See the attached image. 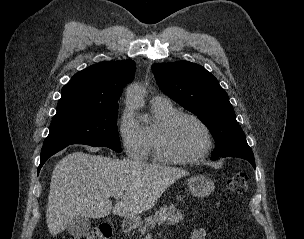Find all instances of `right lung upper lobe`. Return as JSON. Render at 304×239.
Returning <instances> with one entry per match:
<instances>
[{"label":"right lung upper lobe","instance_id":"obj_1","mask_svg":"<svg viewBox=\"0 0 304 239\" xmlns=\"http://www.w3.org/2000/svg\"><path fill=\"white\" fill-rule=\"evenodd\" d=\"M135 67L130 59L106 61L76 73L61 90L57 112L117 105L122 88L133 79Z\"/></svg>","mask_w":304,"mask_h":239}]
</instances>
